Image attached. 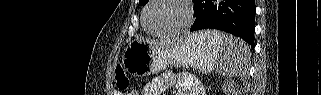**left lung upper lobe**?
I'll use <instances>...</instances> for the list:
<instances>
[{"mask_svg": "<svg viewBox=\"0 0 321 95\" xmlns=\"http://www.w3.org/2000/svg\"><path fill=\"white\" fill-rule=\"evenodd\" d=\"M149 0H140L139 3L140 5H145Z\"/></svg>", "mask_w": 321, "mask_h": 95, "instance_id": "left-lung-upper-lobe-1", "label": "left lung upper lobe"}]
</instances>
